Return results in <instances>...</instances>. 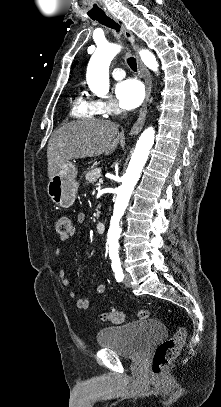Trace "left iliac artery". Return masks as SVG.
Instances as JSON below:
<instances>
[{"label":"left iliac artery","instance_id":"44dca946","mask_svg":"<svg viewBox=\"0 0 221 407\" xmlns=\"http://www.w3.org/2000/svg\"><path fill=\"white\" fill-rule=\"evenodd\" d=\"M112 269L115 273V278L118 282H121L124 278L123 270L120 263H113Z\"/></svg>","mask_w":221,"mask_h":407}]
</instances>
